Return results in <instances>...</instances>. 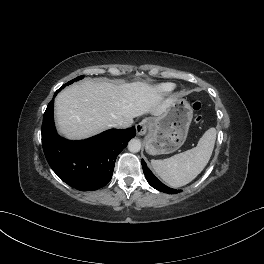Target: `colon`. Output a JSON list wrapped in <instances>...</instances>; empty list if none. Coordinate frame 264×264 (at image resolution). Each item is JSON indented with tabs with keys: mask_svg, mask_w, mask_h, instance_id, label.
Instances as JSON below:
<instances>
[{
	"mask_svg": "<svg viewBox=\"0 0 264 264\" xmlns=\"http://www.w3.org/2000/svg\"><path fill=\"white\" fill-rule=\"evenodd\" d=\"M193 109L195 111H199L201 109V104L199 102H194L193 103ZM198 120V119H197Z\"/></svg>",
	"mask_w": 264,
	"mask_h": 264,
	"instance_id": "obj_1",
	"label": "colon"
}]
</instances>
